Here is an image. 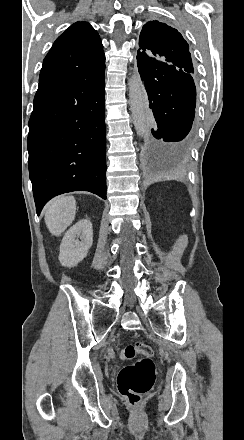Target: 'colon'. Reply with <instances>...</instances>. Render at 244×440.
I'll return each instance as SVG.
<instances>
[{"label":"colon","mask_w":244,"mask_h":440,"mask_svg":"<svg viewBox=\"0 0 244 440\" xmlns=\"http://www.w3.org/2000/svg\"><path fill=\"white\" fill-rule=\"evenodd\" d=\"M119 356L122 360H137L124 367L118 375L119 392L134 409L141 396L147 394L154 385L156 373L153 352L143 342H135L126 345Z\"/></svg>","instance_id":"obj_1"}]
</instances>
